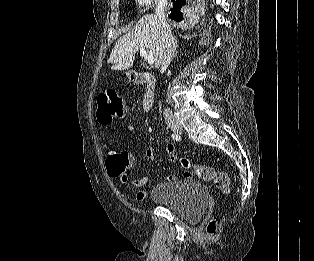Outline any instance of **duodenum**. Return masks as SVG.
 <instances>
[{"mask_svg":"<svg viewBox=\"0 0 314 261\" xmlns=\"http://www.w3.org/2000/svg\"><path fill=\"white\" fill-rule=\"evenodd\" d=\"M132 80L136 84L145 86L142 96V110L144 112H149L153 107L155 99V77L150 73L140 72L134 73L132 75Z\"/></svg>","mask_w":314,"mask_h":261,"instance_id":"obj_1","label":"duodenum"}]
</instances>
